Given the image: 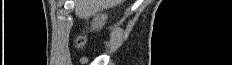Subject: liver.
Instances as JSON below:
<instances>
[{
	"label": "liver",
	"instance_id": "liver-1",
	"mask_svg": "<svg viewBox=\"0 0 232 65\" xmlns=\"http://www.w3.org/2000/svg\"><path fill=\"white\" fill-rule=\"evenodd\" d=\"M124 0H74L75 14L79 18H88L96 13L121 4Z\"/></svg>",
	"mask_w": 232,
	"mask_h": 65
}]
</instances>
